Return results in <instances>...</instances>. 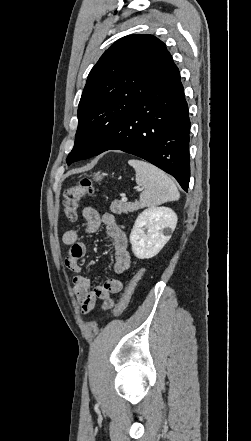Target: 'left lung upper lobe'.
<instances>
[{"mask_svg": "<svg viewBox=\"0 0 251 441\" xmlns=\"http://www.w3.org/2000/svg\"><path fill=\"white\" fill-rule=\"evenodd\" d=\"M171 61L165 44L153 35L125 36L110 46L88 75L67 164L87 159L93 129L126 116Z\"/></svg>", "mask_w": 251, "mask_h": 441, "instance_id": "left-lung-upper-lobe-1", "label": "left lung upper lobe"}]
</instances>
